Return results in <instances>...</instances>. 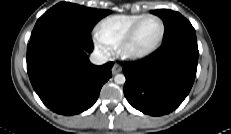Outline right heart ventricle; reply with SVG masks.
<instances>
[{
  "instance_id": "e07e8e85",
  "label": "right heart ventricle",
  "mask_w": 231,
  "mask_h": 134,
  "mask_svg": "<svg viewBox=\"0 0 231 134\" xmlns=\"http://www.w3.org/2000/svg\"><path fill=\"white\" fill-rule=\"evenodd\" d=\"M145 14H119L101 20L96 27L98 40L108 48H117L132 28Z\"/></svg>"
}]
</instances>
